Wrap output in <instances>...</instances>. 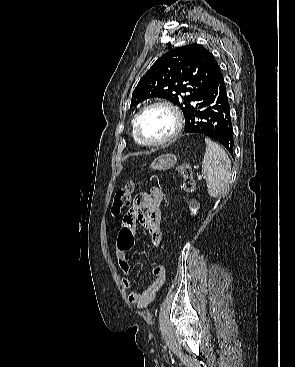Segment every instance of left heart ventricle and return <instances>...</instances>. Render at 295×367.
Returning <instances> with one entry per match:
<instances>
[{
	"label": "left heart ventricle",
	"instance_id": "left-heart-ventricle-1",
	"mask_svg": "<svg viewBox=\"0 0 295 367\" xmlns=\"http://www.w3.org/2000/svg\"><path fill=\"white\" fill-rule=\"evenodd\" d=\"M139 129L145 140H161L167 137L174 129L173 115L162 107L151 108L141 116Z\"/></svg>",
	"mask_w": 295,
	"mask_h": 367
}]
</instances>
